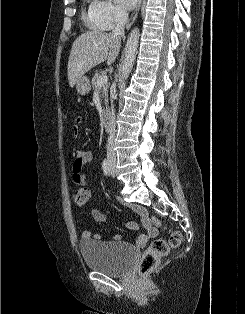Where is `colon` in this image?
Wrapping results in <instances>:
<instances>
[{"mask_svg":"<svg viewBox=\"0 0 245 314\" xmlns=\"http://www.w3.org/2000/svg\"><path fill=\"white\" fill-rule=\"evenodd\" d=\"M72 197L78 206H86L90 199V192L84 187L77 188L73 191ZM146 220L153 222L157 226L161 225L153 216H146ZM181 241L182 236L179 232H173L168 241L162 239L154 240L145 250L139 263L140 273L145 274L154 269L159 261L169 253L170 248L178 247Z\"/></svg>","mask_w":245,"mask_h":314,"instance_id":"colon-1","label":"colon"}]
</instances>
